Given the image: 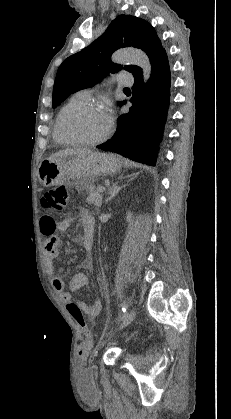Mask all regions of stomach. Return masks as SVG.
Returning <instances> with one entry per match:
<instances>
[{
    "mask_svg": "<svg viewBox=\"0 0 231 419\" xmlns=\"http://www.w3.org/2000/svg\"><path fill=\"white\" fill-rule=\"evenodd\" d=\"M121 165L119 156L103 152L69 158H47L39 165L38 179L43 186L50 187L64 184L67 178H72L77 190L82 191L96 178L114 174Z\"/></svg>",
    "mask_w": 231,
    "mask_h": 419,
    "instance_id": "0dacf381",
    "label": "stomach"
}]
</instances>
